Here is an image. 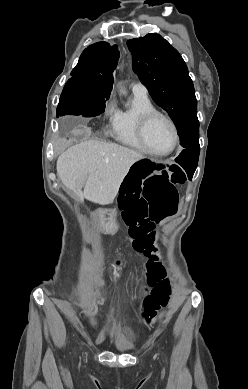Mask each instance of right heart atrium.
<instances>
[{"label": "right heart atrium", "mask_w": 248, "mask_h": 389, "mask_svg": "<svg viewBox=\"0 0 248 389\" xmlns=\"http://www.w3.org/2000/svg\"><path fill=\"white\" fill-rule=\"evenodd\" d=\"M115 106L113 104V102L111 100H108L105 104V107H104V110H103V114L104 116L106 117H110L112 119L113 117V114L115 112Z\"/></svg>", "instance_id": "obj_1"}]
</instances>
